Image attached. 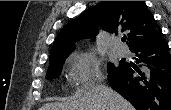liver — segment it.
<instances>
[{
    "label": "liver",
    "instance_id": "6515ba94",
    "mask_svg": "<svg viewBox=\"0 0 171 110\" xmlns=\"http://www.w3.org/2000/svg\"><path fill=\"white\" fill-rule=\"evenodd\" d=\"M40 110H134V107L110 87L99 84L79 92L71 102L47 103Z\"/></svg>",
    "mask_w": 171,
    "mask_h": 110
}]
</instances>
